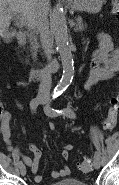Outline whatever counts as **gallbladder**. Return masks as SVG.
Listing matches in <instances>:
<instances>
[{
	"label": "gallbladder",
	"instance_id": "obj_1",
	"mask_svg": "<svg viewBox=\"0 0 119 185\" xmlns=\"http://www.w3.org/2000/svg\"><path fill=\"white\" fill-rule=\"evenodd\" d=\"M0 36L3 38L5 42H9L12 37V33L8 30H4L0 33Z\"/></svg>",
	"mask_w": 119,
	"mask_h": 185
}]
</instances>
